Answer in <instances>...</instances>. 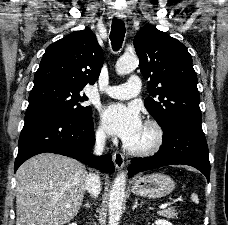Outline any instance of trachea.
Wrapping results in <instances>:
<instances>
[{"label":"trachea","instance_id":"trachea-1","mask_svg":"<svg viewBox=\"0 0 228 225\" xmlns=\"http://www.w3.org/2000/svg\"><path fill=\"white\" fill-rule=\"evenodd\" d=\"M125 24L122 20L114 18L112 21L110 40L114 51H118L124 40Z\"/></svg>","mask_w":228,"mask_h":225}]
</instances>
